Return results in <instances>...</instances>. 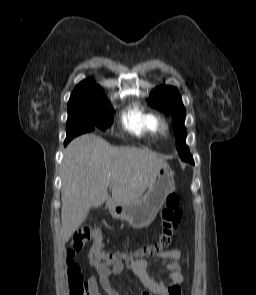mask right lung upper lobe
I'll return each instance as SVG.
<instances>
[{
  "mask_svg": "<svg viewBox=\"0 0 256 295\" xmlns=\"http://www.w3.org/2000/svg\"><path fill=\"white\" fill-rule=\"evenodd\" d=\"M105 96L99 85H96L90 80H84L80 82L74 89L68 106L73 105L77 102H83L87 100H103Z\"/></svg>",
  "mask_w": 256,
  "mask_h": 295,
  "instance_id": "1",
  "label": "right lung upper lobe"
}]
</instances>
